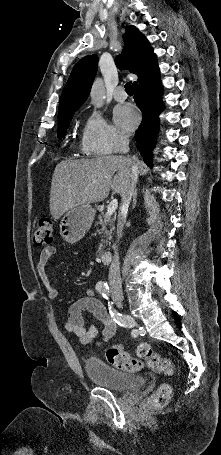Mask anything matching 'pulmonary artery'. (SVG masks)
<instances>
[{"label": "pulmonary artery", "instance_id": "pulmonary-artery-1", "mask_svg": "<svg viewBox=\"0 0 221 455\" xmlns=\"http://www.w3.org/2000/svg\"><path fill=\"white\" fill-rule=\"evenodd\" d=\"M113 97L118 102H123L127 98L125 89L122 86L117 87L113 92Z\"/></svg>", "mask_w": 221, "mask_h": 455}]
</instances>
